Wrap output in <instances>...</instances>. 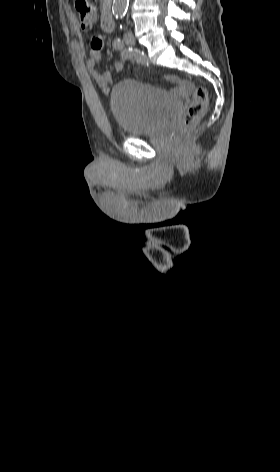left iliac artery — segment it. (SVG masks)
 Instances as JSON below:
<instances>
[{"label": "left iliac artery", "mask_w": 280, "mask_h": 472, "mask_svg": "<svg viewBox=\"0 0 280 472\" xmlns=\"http://www.w3.org/2000/svg\"><path fill=\"white\" fill-rule=\"evenodd\" d=\"M113 46L115 49H122L123 48V42L120 38L116 39L114 42H113Z\"/></svg>", "instance_id": "1"}]
</instances>
